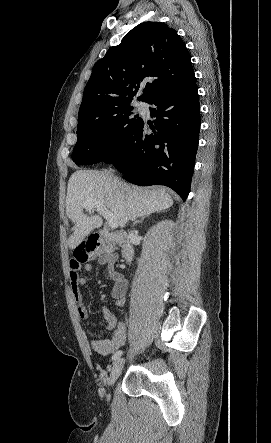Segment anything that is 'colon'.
I'll list each match as a JSON object with an SVG mask.
<instances>
[{
	"label": "colon",
	"instance_id": "5ec220e1",
	"mask_svg": "<svg viewBox=\"0 0 271 443\" xmlns=\"http://www.w3.org/2000/svg\"><path fill=\"white\" fill-rule=\"evenodd\" d=\"M112 258V245L99 237H91L77 247L73 260L81 264L94 259H100L105 263H109Z\"/></svg>",
	"mask_w": 271,
	"mask_h": 443
}]
</instances>
